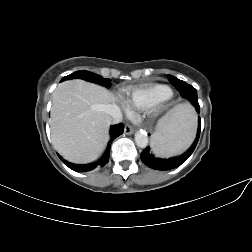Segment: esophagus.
Returning <instances> with one entry per match:
<instances>
[{
  "label": "esophagus",
  "mask_w": 252,
  "mask_h": 252,
  "mask_svg": "<svg viewBox=\"0 0 252 252\" xmlns=\"http://www.w3.org/2000/svg\"><path fill=\"white\" fill-rule=\"evenodd\" d=\"M124 132L127 135H131V134L134 133V130H133V128L130 125H126L125 128H124Z\"/></svg>",
  "instance_id": "esophagus-1"
}]
</instances>
